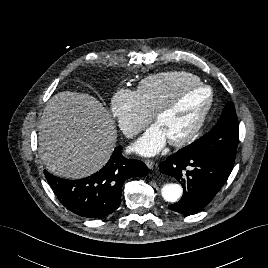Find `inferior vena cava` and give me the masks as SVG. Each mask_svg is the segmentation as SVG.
Returning <instances> with one entry per match:
<instances>
[{"label": "inferior vena cava", "instance_id": "1", "mask_svg": "<svg viewBox=\"0 0 268 268\" xmlns=\"http://www.w3.org/2000/svg\"><path fill=\"white\" fill-rule=\"evenodd\" d=\"M134 135V133L133 132H130L129 134H128V137H132Z\"/></svg>", "mask_w": 268, "mask_h": 268}]
</instances>
